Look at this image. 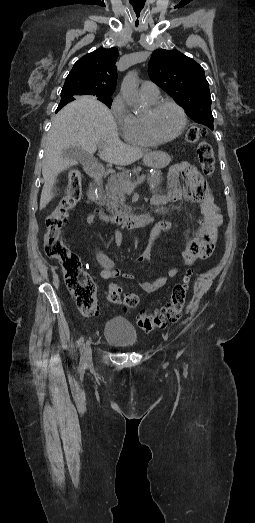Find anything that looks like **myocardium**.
<instances>
[{"instance_id": "obj_1", "label": "myocardium", "mask_w": 255, "mask_h": 523, "mask_svg": "<svg viewBox=\"0 0 255 523\" xmlns=\"http://www.w3.org/2000/svg\"><path fill=\"white\" fill-rule=\"evenodd\" d=\"M164 106L174 107L178 111V113L180 114V117H181V125L179 127V130L174 135L167 137V138H161V137L157 136L152 128V123H151L153 114ZM186 124H187V117H186L185 111L183 110V108L181 106H179L177 103L172 102V101H162V100L157 101L155 104L150 106V108L148 110V114L143 116L144 130H145L146 134L149 136V138L155 143H167V142H171V141L177 139L185 130Z\"/></svg>"}]
</instances>
